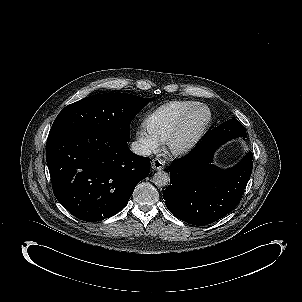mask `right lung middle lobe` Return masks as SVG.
<instances>
[{
    "label": "right lung middle lobe",
    "instance_id": "obj_1",
    "mask_svg": "<svg viewBox=\"0 0 302 302\" xmlns=\"http://www.w3.org/2000/svg\"><path fill=\"white\" fill-rule=\"evenodd\" d=\"M152 98L126 93L97 94L65 107L56 117L49 136L83 128L103 130L130 140V122Z\"/></svg>",
    "mask_w": 302,
    "mask_h": 302
}]
</instances>
